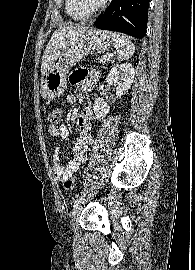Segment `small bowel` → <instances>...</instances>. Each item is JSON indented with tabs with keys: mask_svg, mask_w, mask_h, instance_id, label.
<instances>
[{
	"mask_svg": "<svg viewBox=\"0 0 195 270\" xmlns=\"http://www.w3.org/2000/svg\"><path fill=\"white\" fill-rule=\"evenodd\" d=\"M70 82L79 85V94L87 95L97 82L96 72L88 69H77L70 75ZM76 101L75 94H68L65 102L69 105ZM69 117L76 120L79 135L73 144V156L65 163L61 156L59 147L55 149L53 155V174L59 181L71 178L78 170L80 165L85 162L88 146L93 142L92 121L94 114L89 105H85L80 111L72 110ZM48 133L53 136L57 142L65 140L69 135V130L65 125H48Z\"/></svg>",
	"mask_w": 195,
	"mask_h": 270,
	"instance_id": "small-bowel-1",
	"label": "small bowel"
}]
</instances>
